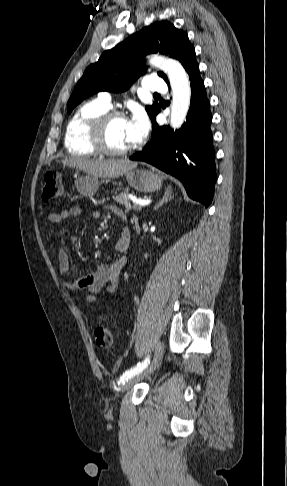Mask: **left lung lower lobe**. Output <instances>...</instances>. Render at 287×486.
Masks as SVG:
<instances>
[{
	"label": "left lung lower lobe",
	"instance_id": "1",
	"mask_svg": "<svg viewBox=\"0 0 287 486\" xmlns=\"http://www.w3.org/2000/svg\"><path fill=\"white\" fill-rule=\"evenodd\" d=\"M191 81V102L186 122L173 132L152 120L150 142L130 157L144 161L182 181L190 198L208 207L216 182L215 151L210 125V104L195 59L185 67Z\"/></svg>",
	"mask_w": 287,
	"mask_h": 486
}]
</instances>
